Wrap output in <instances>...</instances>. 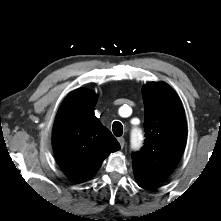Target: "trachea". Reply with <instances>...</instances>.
Masks as SVG:
<instances>
[{"mask_svg":"<svg viewBox=\"0 0 221 221\" xmlns=\"http://www.w3.org/2000/svg\"><path fill=\"white\" fill-rule=\"evenodd\" d=\"M112 130L115 136L120 137L123 134V126L120 122L115 121L112 126Z\"/></svg>","mask_w":221,"mask_h":221,"instance_id":"trachea-1","label":"trachea"}]
</instances>
